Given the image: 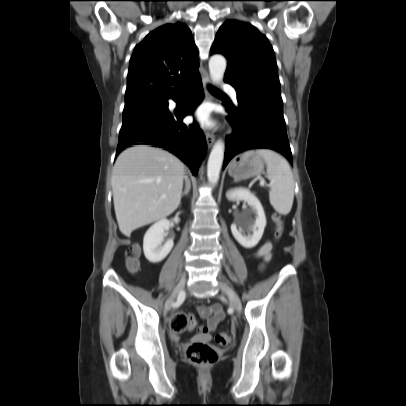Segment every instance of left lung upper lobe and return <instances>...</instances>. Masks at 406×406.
Returning a JSON list of instances; mask_svg holds the SVG:
<instances>
[{"mask_svg": "<svg viewBox=\"0 0 406 406\" xmlns=\"http://www.w3.org/2000/svg\"><path fill=\"white\" fill-rule=\"evenodd\" d=\"M215 53L227 58L224 80L236 89L238 104L258 100L283 106L274 51L257 28L226 21L211 48V54Z\"/></svg>", "mask_w": 406, "mask_h": 406, "instance_id": "5c2ea615", "label": "left lung upper lobe"}]
</instances>
